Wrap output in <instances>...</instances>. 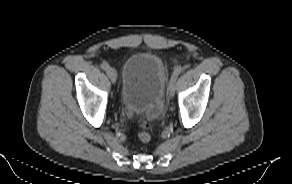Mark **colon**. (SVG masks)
Returning <instances> with one entry per match:
<instances>
[{
	"instance_id": "5ec220e1",
	"label": "colon",
	"mask_w": 292,
	"mask_h": 184,
	"mask_svg": "<svg viewBox=\"0 0 292 184\" xmlns=\"http://www.w3.org/2000/svg\"><path fill=\"white\" fill-rule=\"evenodd\" d=\"M138 138L143 143H147L151 140L150 125L144 120H141L139 123Z\"/></svg>"
}]
</instances>
